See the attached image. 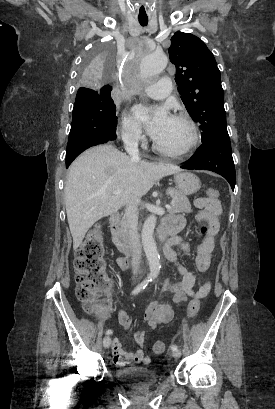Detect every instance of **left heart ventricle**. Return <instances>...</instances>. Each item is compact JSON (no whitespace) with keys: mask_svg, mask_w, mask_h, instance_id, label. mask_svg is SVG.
I'll return each mask as SVG.
<instances>
[{"mask_svg":"<svg viewBox=\"0 0 275 409\" xmlns=\"http://www.w3.org/2000/svg\"><path fill=\"white\" fill-rule=\"evenodd\" d=\"M152 137L160 146L177 149L187 142L189 129L185 123L168 118Z\"/></svg>","mask_w":275,"mask_h":409,"instance_id":"1","label":"left heart ventricle"}]
</instances>
